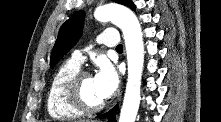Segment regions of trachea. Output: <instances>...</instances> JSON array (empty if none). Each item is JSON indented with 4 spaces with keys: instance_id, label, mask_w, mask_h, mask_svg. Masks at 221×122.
Masks as SVG:
<instances>
[{
    "instance_id": "obj_1",
    "label": "trachea",
    "mask_w": 221,
    "mask_h": 122,
    "mask_svg": "<svg viewBox=\"0 0 221 122\" xmlns=\"http://www.w3.org/2000/svg\"><path fill=\"white\" fill-rule=\"evenodd\" d=\"M122 49H123L122 44H120V45H118V46L116 47V50H122Z\"/></svg>"
}]
</instances>
